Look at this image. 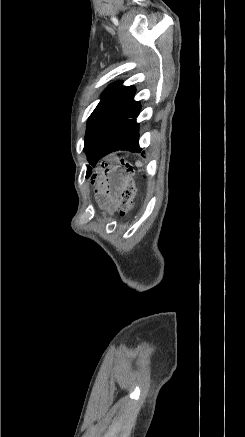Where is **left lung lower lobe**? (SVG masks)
<instances>
[{
	"label": "left lung lower lobe",
	"instance_id": "left-lung-lower-lobe-1",
	"mask_svg": "<svg viewBox=\"0 0 245 437\" xmlns=\"http://www.w3.org/2000/svg\"><path fill=\"white\" fill-rule=\"evenodd\" d=\"M139 112L140 104L139 102L134 101L125 115L113 127L103 147L97 155L96 161L92 164V167H94L102 157L114 151H141V148L138 144L139 129L135 120Z\"/></svg>",
	"mask_w": 245,
	"mask_h": 437
}]
</instances>
